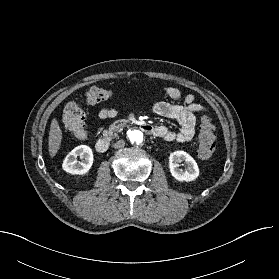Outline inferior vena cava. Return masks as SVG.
Returning a JSON list of instances; mask_svg holds the SVG:
<instances>
[{"label": "inferior vena cava", "mask_w": 279, "mask_h": 279, "mask_svg": "<svg viewBox=\"0 0 279 279\" xmlns=\"http://www.w3.org/2000/svg\"><path fill=\"white\" fill-rule=\"evenodd\" d=\"M124 145H125V141L121 139V140H118V141L113 145V147H114L115 149H118V148H122Z\"/></svg>", "instance_id": "inferior-vena-cava-1"}]
</instances>
